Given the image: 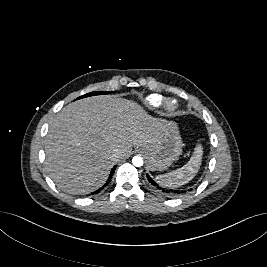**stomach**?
<instances>
[{
  "instance_id": "1",
  "label": "stomach",
  "mask_w": 267,
  "mask_h": 267,
  "mask_svg": "<svg viewBox=\"0 0 267 267\" xmlns=\"http://www.w3.org/2000/svg\"><path fill=\"white\" fill-rule=\"evenodd\" d=\"M182 147L177 125L172 121L163 120V129L156 143L142 149L148 169H167L181 155Z\"/></svg>"
}]
</instances>
